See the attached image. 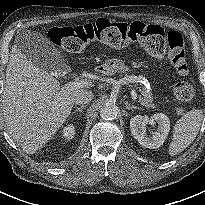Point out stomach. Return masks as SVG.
Masks as SVG:
<instances>
[{
	"label": "stomach",
	"instance_id": "obj_1",
	"mask_svg": "<svg viewBox=\"0 0 205 205\" xmlns=\"http://www.w3.org/2000/svg\"><path fill=\"white\" fill-rule=\"evenodd\" d=\"M107 74H113L116 72L125 73L129 71V67L125 66L122 62L118 60H110L106 65L103 66Z\"/></svg>",
	"mask_w": 205,
	"mask_h": 205
}]
</instances>
